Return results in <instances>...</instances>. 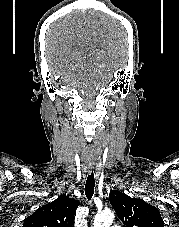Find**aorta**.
<instances>
[{
    "label": "aorta",
    "instance_id": "762f6f07",
    "mask_svg": "<svg viewBox=\"0 0 179 227\" xmlns=\"http://www.w3.org/2000/svg\"><path fill=\"white\" fill-rule=\"evenodd\" d=\"M114 220V213L111 210H105L96 214L93 227H110Z\"/></svg>",
    "mask_w": 179,
    "mask_h": 227
}]
</instances>
